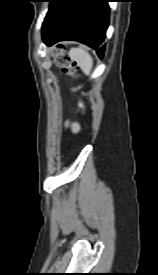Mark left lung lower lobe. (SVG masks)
<instances>
[{
    "mask_svg": "<svg viewBox=\"0 0 158 275\" xmlns=\"http://www.w3.org/2000/svg\"><path fill=\"white\" fill-rule=\"evenodd\" d=\"M50 7L42 25L47 45L75 40L104 55L103 41L109 24V0H49ZM61 47V45H58Z\"/></svg>",
    "mask_w": 158,
    "mask_h": 275,
    "instance_id": "0a47b994",
    "label": "left lung lower lobe"
}]
</instances>
